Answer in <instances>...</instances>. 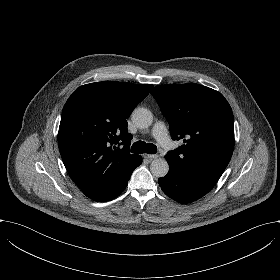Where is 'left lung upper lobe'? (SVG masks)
<instances>
[{"mask_svg":"<svg viewBox=\"0 0 280 280\" xmlns=\"http://www.w3.org/2000/svg\"><path fill=\"white\" fill-rule=\"evenodd\" d=\"M151 94L169 122L174 140L184 145L165 158L188 171L221 176L234 149V121L224 96L195 83L159 85Z\"/></svg>","mask_w":280,"mask_h":280,"instance_id":"left-lung-upper-lobe-1","label":"left lung upper lobe"}]
</instances>
